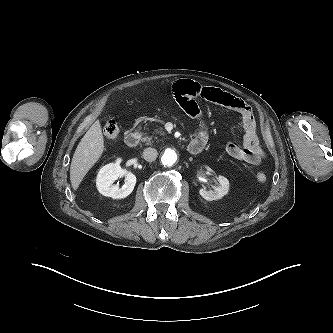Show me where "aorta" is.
<instances>
[{"mask_svg": "<svg viewBox=\"0 0 333 333\" xmlns=\"http://www.w3.org/2000/svg\"><path fill=\"white\" fill-rule=\"evenodd\" d=\"M177 161V153L174 149L168 148L164 151L161 157L162 165L166 167L173 166Z\"/></svg>", "mask_w": 333, "mask_h": 333, "instance_id": "762f6f07", "label": "aorta"}]
</instances>
